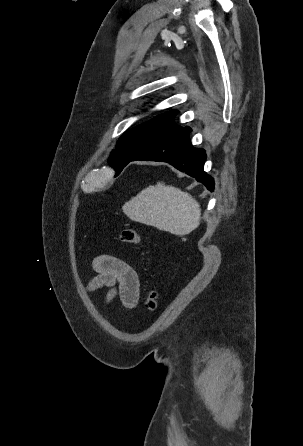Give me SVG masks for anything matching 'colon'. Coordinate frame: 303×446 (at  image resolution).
Wrapping results in <instances>:
<instances>
[{"mask_svg":"<svg viewBox=\"0 0 303 446\" xmlns=\"http://www.w3.org/2000/svg\"><path fill=\"white\" fill-rule=\"evenodd\" d=\"M120 239L122 242L135 245L140 241V236L136 230L132 228H124L121 231ZM159 295L156 289H151L145 299V307L149 311H154L158 305Z\"/></svg>","mask_w":303,"mask_h":446,"instance_id":"1","label":"colon"}]
</instances>
